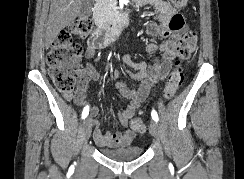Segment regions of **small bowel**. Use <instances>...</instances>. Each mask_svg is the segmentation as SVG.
<instances>
[{
    "mask_svg": "<svg viewBox=\"0 0 244 179\" xmlns=\"http://www.w3.org/2000/svg\"><path fill=\"white\" fill-rule=\"evenodd\" d=\"M137 5L140 7L150 6L156 11L157 21L149 22L146 26V32L151 37L159 36L164 40L161 43L152 41L147 43L146 51L149 54L156 55L158 52L161 53V56H155L151 63L136 61L129 56L123 58L124 64L131 69L128 72V76L140 83V86L136 89L129 88L123 80H119L115 84L119 94L129 101V104L119 114V123L124 127H128L131 118L146 99L154 84L161 82L169 74L175 57L176 41L184 27L182 15L167 1L139 0ZM97 49L89 42L84 53L85 58H94ZM112 75L115 79L121 77L119 71L113 72ZM99 78V73L94 64H87L78 71L76 91L63 94L64 98L76 105H86L88 84L90 81L98 80ZM98 113V108H91V123L94 127L93 138L96 144L100 147L128 146L133 139V132L131 130L117 132L103 130L100 121L95 118Z\"/></svg>",
    "mask_w": 244,
    "mask_h": 179,
    "instance_id": "c3829d8e",
    "label": "small bowel"
}]
</instances>
